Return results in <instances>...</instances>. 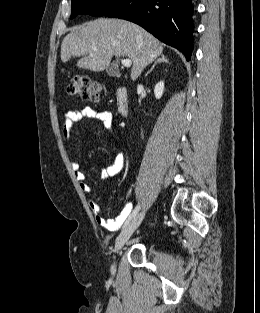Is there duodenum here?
Returning <instances> with one entry per match:
<instances>
[{
	"instance_id": "obj_1",
	"label": "duodenum",
	"mask_w": 260,
	"mask_h": 313,
	"mask_svg": "<svg viewBox=\"0 0 260 313\" xmlns=\"http://www.w3.org/2000/svg\"><path fill=\"white\" fill-rule=\"evenodd\" d=\"M116 104L118 113L125 117L129 113L128 91L125 86H119L116 89Z\"/></svg>"
}]
</instances>
